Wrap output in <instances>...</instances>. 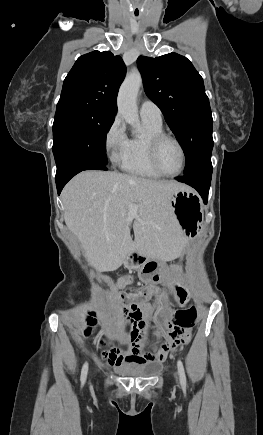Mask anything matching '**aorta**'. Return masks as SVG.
<instances>
[{
    "label": "aorta",
    "instance_id": "1",
    "mask_svg": "<svg viewBox=\"0 0 263 435\" xmlns=\"http://www.w3.org/2000/svg\"><path fill=\"white\" fill-rule=\"evenodd\" d=\"M141 85L142 77L139 72L129 74L122 83L117 98L118 112L134 128V132L141 130L136 103Z\"/></svg>",
    "mask_w": 263,
    "mask_h": 435
}]
</instances>
